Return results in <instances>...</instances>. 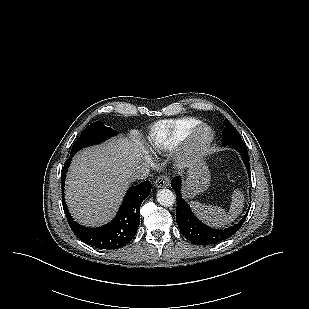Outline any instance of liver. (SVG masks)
I'll list each match as a JSON object with an SVG mask.
<instances>
[{
    "instance_id": "1",
    "label": "liver",
    "mask_w": 309,
    "mask_h": 309,
    "mask_svg": "<svg viewBox=\"0 0 309 309\" xmlns=\"http://www.w3.org/2000/svg\"><path fill=\"white\" fill-rule=\"evenodd\" d=\"M141 160L139 149L126 137L80 151L69 169L65 190L75 220L87 226L110 221L131 182L130 171L143 166Z\"/></svg>"
}]
</instances>
